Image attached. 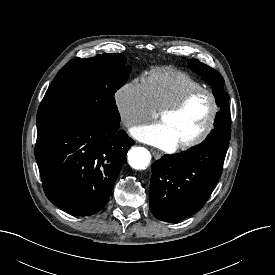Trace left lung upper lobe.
Segmentation results:
<instances>
[{"label":"left lung upper lobe","mask_w":275,"mask_h":275,"mask_svg":"<svg viewBox=\"0 0 275 275\" xmlns=\"http://www.w3.org/2000/svg\"><path fill=\"white\" fill-rule=\"evenodd\" d=\"M189 67L199 75H202L204 80L213 87V94L216 97V104L220 107L214 121V129L207 136L211 138H223L230 140L231 122L229 112V96L224 93V79L213 68L199 62L198 60H188Z\"/></svg>","instance_id":"left-lung-upper-lobe-1"}]
</instances>
